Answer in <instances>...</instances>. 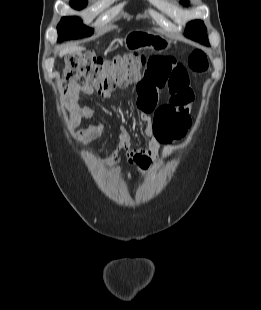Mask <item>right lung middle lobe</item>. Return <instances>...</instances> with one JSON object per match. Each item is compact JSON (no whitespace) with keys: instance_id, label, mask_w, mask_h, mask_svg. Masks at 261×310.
<instances>
[{"instance_id":"dd1d6c3e","label":"right lung middle lobe","mask_w":261,"mask_h":310,"mask_svg":"<svg viewBox=\"0 0 261 310\" xmlns=\"http://www.w3.org/2000/svg\"><path fill=\"white\" fill-rule=\"evenodd\" d=\"M87 5L86 0H72L71 6L75 9H82ZM58 41L72 38H82L93 34V29L82 24L78 17H64L57 26Z\"/></svg>"}]
</instances>
